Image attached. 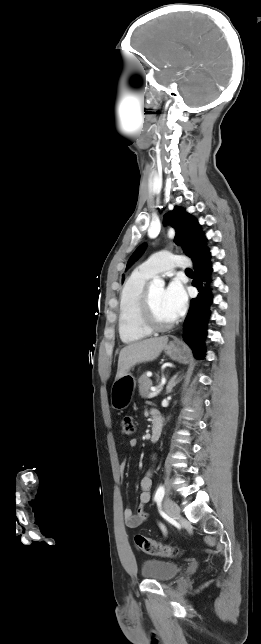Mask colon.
<instances>
[{
  "label": "colon",
  "mask_w": 261,
  "mask_h": 644,
  "mask_svg": "<svg viewBox=\"0 0 261 644\" xmlns=\"http://www.w3.org/2000/svg\"><path fill=\"white\" fill-rule=\"evenodd\" d=\"M121 431L125 436L134 435L136 426L132 416L126 415L123 417L121 421ZM134 542L139 550L149 555L170 557L177 554V550L175 548L164 545L140 534L135 535Z\"/></svg>",
  "instance_id": "obj_1"
}]
</instances>
